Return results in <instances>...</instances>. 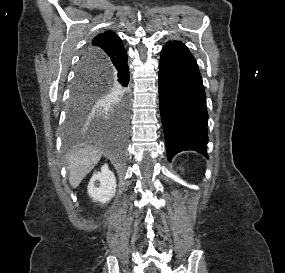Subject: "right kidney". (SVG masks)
I'll use <instances>...</instances> for the list:
<instances>
[{"instance_id":"ca27d5eb","label":"right kidney","mask_w":285,"mask_h":273,"mask_svg":"<svg viewBox=\"0 0 285 273\" xmlns=\"http://www.w3.org/2000/svg\"><path fill=\"white\" fill-rule=\"evenodd\" d=\"M88 194L93 201L102 204L108 202L116 191V178L108 165H104L100 172L95 173L88 184Z\"/></svg>"}]
</instances>
